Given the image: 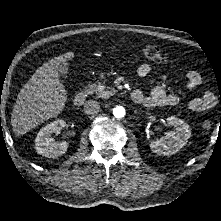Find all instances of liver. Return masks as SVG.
Listing matches in <instances>:
<instances>
[{
  "label": "liver",
  "mask_w": 221,
  "mask_h": 221,
  "mask_svg": "<svg viewBox=\"0 0 221 221\" xmlns=\"http://www.w3.org/2000/svg\"><path fill=\"white\" fill-rule=\"evenodd\" d=\"M74 57L67 52L50 59L39 67L20 90L11 114L16 136L23 135L37 125L59 115L67 101V91L59 80V66Z\"/></svg>",
  "instance_id": "obj_1"
}]
</instances>
